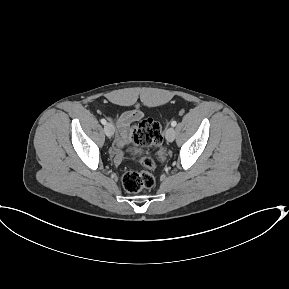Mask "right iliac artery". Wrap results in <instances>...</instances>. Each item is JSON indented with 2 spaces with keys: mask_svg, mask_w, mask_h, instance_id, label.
Listing matches in <instances>:
<instances>
[{
  "mask_svg": "<svg viewBox=\"0 0 289 289\" xmlns=\"http://www.w3.org/2000/svg\"><path fill=\"white\" fill-rule=\"evenodd\" d=\"M101 123H102L103 125H105L107 122H106L105 119H101Z\"/></svg>",
  "mask_w": 289,
  "mask_h": 289,
  "instance_id": "1",
  "label": "right iliac artery"
}]
</instances>
